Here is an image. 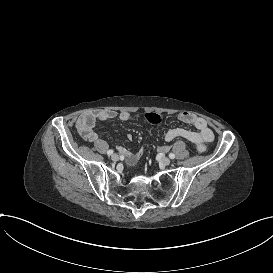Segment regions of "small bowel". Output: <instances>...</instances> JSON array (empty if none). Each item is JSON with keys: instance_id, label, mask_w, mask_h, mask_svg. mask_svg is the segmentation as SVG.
<instances>
[{"instance_id": "1", "label": "small bowel", "mask_w": 273, "mask_h": 273, "mask_svg": "<svg viewBox=\"0 0 273 273\" xmlns=\"http://www.w3.org/2000/svg\"><path fill=\"white\" fill-rule=\"evenodd\" d=\"M86 114L79 116L75 121L74 137L78 141H83L86 145L95 143L97 151L101 155H106L110 151L108 143L103 142L96 130H93L91 126L97 121H111L119 119L122 122H127L132 119V114L128 111L117 112L114 110H98L85 112ZM178 119L184 123L190 124L194 127V130L185 128H171L164 134V139L167 142L173 141L178 138H183L193 143L199 152H204L208 143L214 140V133L209 127L207 121L192 113H181ZM131 139V136H129ZM124 160L127 165H136V155L134 152H125Z\"/></svg>"}]
</instances>
